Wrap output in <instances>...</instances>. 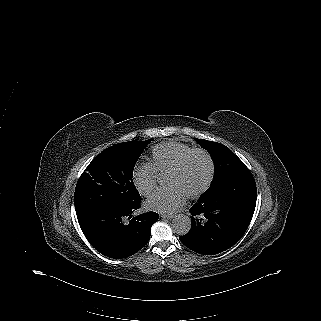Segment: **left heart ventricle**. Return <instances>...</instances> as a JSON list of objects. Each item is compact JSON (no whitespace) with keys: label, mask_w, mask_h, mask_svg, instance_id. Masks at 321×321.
<instances>
[{"label":"left heart ventricle","mask_w":321,"mask_h":321,"mask_svg":"<svg viewBox=\"0 0 321 321\" xmlns=\"http://www.w3.org/2000/svg\"><path fill=\"white\" fill-rule=\"evenodd\" d=\"M208 170V162L204 158L196 159L195 168L192 171L189 179L191 182L195 183L201 181L203 177L206 175Z\"/></svg>","instance_id":"1"}]
</instances>
